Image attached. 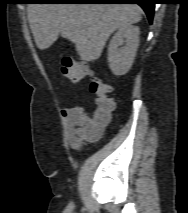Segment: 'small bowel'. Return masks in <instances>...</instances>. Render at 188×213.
<instances>
[{
    "instance_id": "1",
    "label": "small bowel",
    "mask_w": 188,
    "mask_h": 213,
    "mask_svg": "<svg viewBox=\"0 0 188 213\" xmlns=\"http://www.w3.org/2000/svg\"><path fill=\"white\" fill-rule=\"evenodd\" d=\"M62 114L68 127L70 146L75 149L79 148L84 141L97 140L108 124L96 123L94 119L87 116L82 107L65 108ZM72 129H75L77 132L74 135H69Z\"/></svg>"
}]
</instances>
